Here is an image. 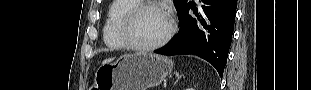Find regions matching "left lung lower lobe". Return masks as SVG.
Masks as SVG:
<instances>
[{
    "label": "left lung lower lobe",
    "mask_w": 311,
    "mask_h": 90,
    "mask_svg": "<svg viewBox=\"0 0 311 90\" xmlns=\"http://www.w3.org/2000/svg\"><path fill=\"white\" fill-rule=\"evenodd\" d=\"M197 9L187 2L179 12L176 38L155 53L167 56L192 54L210 62L222 76L231 45L237 0H202ZM195 17L188 14L189 8Z\"/></svg>",
    "instance_id": "obj_1"
}]
</instances>
